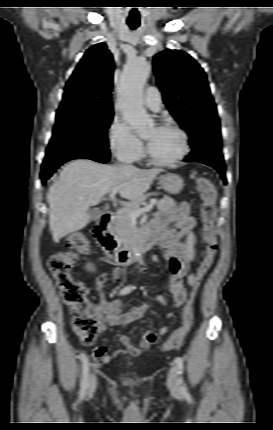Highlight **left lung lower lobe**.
<instances>
[{"label":"left lung lower lobe","instance_id":"left-lung-lower-lobe-1","mask_svg":"<svg viewBox=\"0 0 273 430\" xmlns=\"http://www.w3.org/2000/svg\"><path fill=\"white\" fill-rule=\"evenodd\" d=\"M183 161H197L209 165L215 168L224 179V183H227L225 164L221 153V140L205 137L199 145L192 147V152Z\"/></svg>","mask_w":273,"mask_h":430}]
</instances>
